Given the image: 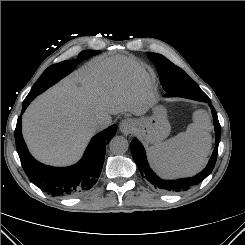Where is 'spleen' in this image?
Segmentation results:
<instances>
[{"label":"spleen","mask_w":245,"mask_h":245,"mask_svg":"<svg viewBox=\"0 0 245 245\" xmlns=\"http://www.w3.org/2000/svg\"><path fill=\"white\" fill-rule=\"evenodd\" d=\"M210 119L203 110L193 115V123L164 142L148 149L152 168L164 178L189 176L204 165L211 147Z\"/></svg>","instance_id":"spleen-1"}]
</instances>
